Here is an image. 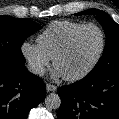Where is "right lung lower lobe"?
<instances>
[{
    "label": "right lung lower lobe",
    "instance_id": "98d812e1",
    "mask_svg": "<svg viewBox=\"0 0 119 119\" xmlns=\"http://www.w3.org/2000/svg\"><path fill=\"white\" fill-rule=\"evenodd\" d=\"M44 98V82L24 63H0V119H27Z\"/></svg>",
    "mask_w": 119,
    "mask_h": 119
}]
</instances>
